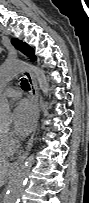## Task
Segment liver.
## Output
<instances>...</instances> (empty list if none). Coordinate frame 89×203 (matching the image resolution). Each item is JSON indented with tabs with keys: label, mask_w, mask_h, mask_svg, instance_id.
Instances as JSON below:
<instances>
[{
	"label": "liver",
	"mask_w": 89,
	"mask_h": 203,
	"mask_svg": "<svg viewBox=\"0 0 89 203\" xmlns=\"http://www.w3.org/2000/svg\"><path fill=\"white\" fill-rule=\"evenodd\" d=\"M11 168V164L6 161H1L0 163V184H4L5 177L7 176L9 170Z\"/></svg>",
	"instance_id": "obj_1"
}]
</instances>
